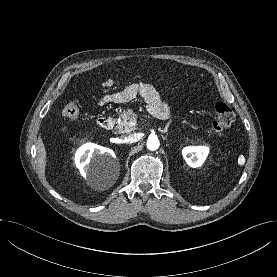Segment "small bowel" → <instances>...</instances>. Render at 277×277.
<instances>
[{"instance_id":"c3829d8e","label":"small bowel","mask_w":277,"mask_h":277,"mask_svg":"<svg viewBox=\"0 0 277 277\" xmlns=\"http://www.w3.org/2000/svg\"><path fill=\"white\" fill-rule=\"evenodd\" d=\"M113 80H107L103 83V87H112ZM137 96L142 97L149 111L160 119H165L169 115V105L161 98L157 90L150 84L134 83L121 91L104 95L98 102L99 106H104L108 103H125L133 100Z\"/></svg>"}]
</instances>
